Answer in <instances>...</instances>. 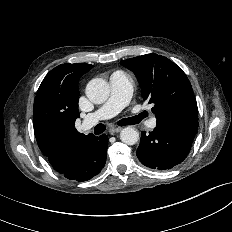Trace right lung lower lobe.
<instances>
[{
    "label": "right lung lower lobe",
    "instance_id": "right-lung-lower-lobe-1",
    "mask_svg": "<svg viewBox=\"0 0 232 232\" xmlns=\"http://www.w3.org/2000/svg\"><path fill=\"white\" fill-rule=\"evenodd\" d=\"M107 147L108 137L105 134L87 137L72 147L66 167L58 172L79 182L91 179L104 167Z\"/></svg>",
    "mask_w": 232,
    "mask_h": 232
}]
</instances>
